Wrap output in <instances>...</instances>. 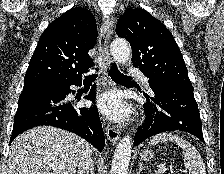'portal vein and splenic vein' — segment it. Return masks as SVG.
Listing matches in <instances>:
<instances>
[{"instance_id":"1","label":"portal vein and splenic vein","mask_w":224,"mask_h":174,"mask_svg":"<svg viewBox=\"0 0 224 174\" xmlns=\"http://www.w3.org/2000/svg\"><path fill=\"white\" fill-rule=\"evenodd\" d=\"M167 170H168V169H167L166 167H164V166H160L155 172H156L157 174H163V173H165Z\"/></svg>"}]
</instances>
